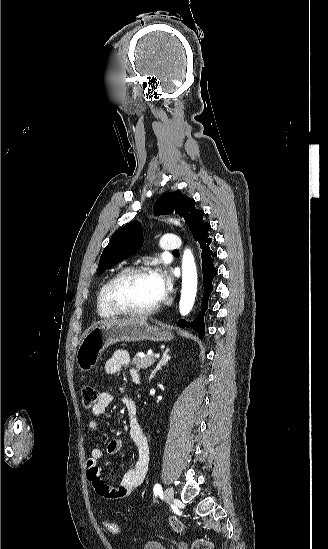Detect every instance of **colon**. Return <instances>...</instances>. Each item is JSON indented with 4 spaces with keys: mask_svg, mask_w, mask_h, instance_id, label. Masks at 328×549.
<instances>
[{
    "mask_svg": "<svg viewBox=\"0 0 328 549\" xmlns=\"http://www.w3.org/2000/svg\"><path fill=\"white\" fill-rule=\"evenodd\" d=\"M98 398H99V391L94 385L88 384L83 387L82 403L85 408H92L96 404ZM169 522L172 528L177 532H180L184 529L183 523L174 516H171L169 518ZM104 526L106 530L112 534H116L119 532L118 525L112 521H105ZM193 548L194 549H211L212 545L207 539H198L194 543Z\"/></svg>",
    "mask_w": 328,
    "mask_h": 549,
    "instance_id": "1",
    "label": "colon"
}]
</instances>
